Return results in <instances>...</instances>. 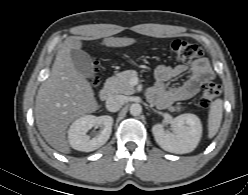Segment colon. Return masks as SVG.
<instances>
[{"mask_svg":"<svg viewBox=\"0 0 248 195\" xmlns=\"http://www.w3.org/2000/svg\"><path fill=\"white\" fill-rule=\"evenodd\" d=\"M170 49L175 59L180 63H190L195 59L203 56L202 47L193 42H189L183 39L174 40L171 43ZM98 77L92 78V84H98ZM221 92V88L218 84L213 82H206L202 85L199 104L201 108L208 109L211 103L218 97Z\"/></svg>","mask_w":248,"mask_h":195,"instance_id":"colon-1","label":"colon"}]
</instances>
